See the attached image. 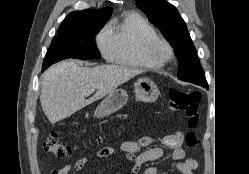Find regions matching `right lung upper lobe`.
Returning a JSON list of instances; mask_svg holds the SVG:
<instances>
[{"label":"right lung upper lobe","instance_id":"1","mask_svg":"<svg viewBox=\"0 0 249 174\" xmlns=\"http://www.w3.org/2000/svg\"><path fill=\"white\" fill-rule=\"evenodd\" d=\"M112 11L113 10L111 8H102L99 10L86 9L83 11L72 12L63 20L59 31H68L81 28L94 22H107L112 14Z\"/></svg>","mask_w":249,"mask_h":174}]
</instances>
